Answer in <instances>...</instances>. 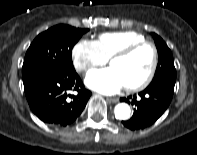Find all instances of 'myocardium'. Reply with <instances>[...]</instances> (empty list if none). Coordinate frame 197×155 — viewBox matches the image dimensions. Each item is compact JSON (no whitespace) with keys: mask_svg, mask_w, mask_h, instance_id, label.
Wrapping results in <instances>:
<instances>
[{"mask_svg":"<svg viewBox=\"0 0 197 155\" xmlns=\"http://www.w3.org/2000/svg\"><path fill=\"white\" fill-rule=\"evenodd\" d=\"M143 47H149L152 51L151 68H150L148 74L146 75V77L141 82L134 84V85L125 86V89L128 92L141 91V90L145 89L152 82V80L155 76V73L157 71L158 61H159V54H158L157 47L155 46L154 43L145 40V41H141V42L127 45V46L119 49L109 59V63L112 64V62L115 59L127 57Z\"/></svg>","mask_w":197,"mask_h":155,"instance_id":"myocardium-1","label":"myocardium"}]
</instances>
